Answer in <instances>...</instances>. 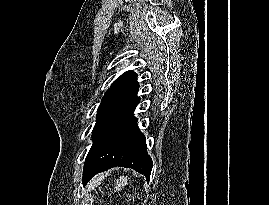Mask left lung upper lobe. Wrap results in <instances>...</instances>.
Returning <instances> with one entry per match:
<instances>
[{
  "label": "left lung upper lobe",
  "instance_id": "1",
  "mask_svg": "<svg viewBox=\"0 0 269 205\" xmlns=\"http://www.w3.org/2000/svg\"><path fill=\"white\" fill-rule=\"evenodd\" d=\"M139 83L133 71H127L119 76L106 91L97 110V121L92 135L109 119L128 107L137 96Z\"/></svg>",
  "mask_w": 269,
  "mask_h": 205
}]
</instances>
